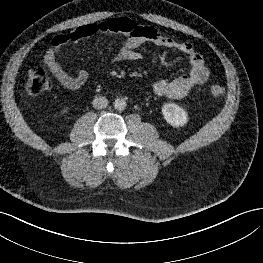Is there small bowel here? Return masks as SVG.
I'll use <instances>...</instances> for the list:
<instances>
[{"label": "small bowel", "instance_id": "c3829d8e", "mask_svg": "<svg viewBox=\"0 0 263 263\" xmlns=\"http://www.w3.org/2000/svg\"><path fill=\"white\" fill-rule=\"evenodd\" d=\"M101 34H122L125 36L124 46L117 55L120 60L140 59L142 54L139 48L144 43L177 50L188 57L190 62L188 72L172 80L160 79L154 83L153 90L158 96L171 99L182 98L194 86L206 82L209 77V69L206 67L202 55L191 43L164 35L151 26L138 25L129 18H116L98 24L80 26L71 32L53 37L51 46L44 55V62L65 88L80 89L88 80L89 73L80 69L75 75L69 74L57 60L63 48Z\"/></svg>", "mask_w": 263, "mask_h": 263}]
</instances>
